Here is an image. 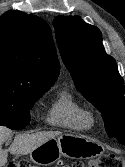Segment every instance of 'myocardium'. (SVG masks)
Segmentation results:
<instances>
[{"label":"myocardium","instance_id":"f54148a6","mask_svg":"<svg viewBox=\"0 0 125 167\" xmlns=\"http://www.w3.org/2000/svg\"><path fill=\"white\" fill-rule=\"evenodd\" d=\"M87 118L89 119L90 123L92 124L94 121L93 114L89 111H87Z\"/></svg>","mask_w":125,"mask_h":167}]
</instances>
